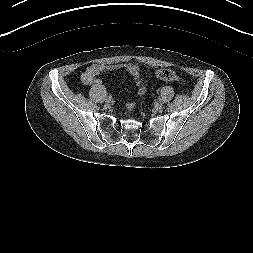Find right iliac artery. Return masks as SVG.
Listing matches in <instances>:
<instances>
[{
  "label": "right iliac artery",
  "mask_w": 253,
  "mask_h": 253,
  "mask_svg": "<svg viewBox=\"0 0 253 253\" xmlns=\"http://www.w3.org/2000/svg\"><path fill=\"white\" fill-rule=\"evenodd\" d=\"M110 98H111V95H108V96H107V99H110Z\"/></svg>",
  "instance_id": "right-iliac-artery-1"
}]
</instances>
